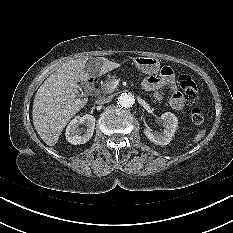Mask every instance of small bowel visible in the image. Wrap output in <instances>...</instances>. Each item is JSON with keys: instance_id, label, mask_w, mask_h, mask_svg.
<instances>
[{"instance_id": "1", "label": "small bowel", "mask_w": 233, "mask_h": 233, "mask_svg": "<svg viewBox=\"0 0 233 233\" xmlns=\"http://www.w3.org/2000/svg\"><path fill=\"white\" fill-rule=\"evenodd\" d=\"M143 89L153 91L156 100L163 99V90H170L169 103L174 109H182L185 105V100L181 92L175 84L173 70L170 67H163L157 75L145 78L141 83Z\"/></svg>"}]
</instances>
